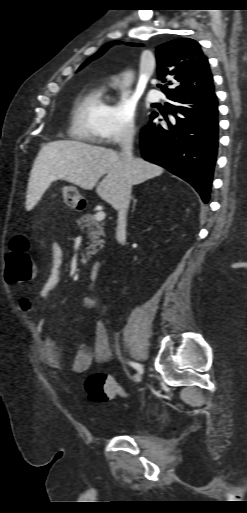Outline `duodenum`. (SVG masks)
<instances>
[{"label":"duodenum","instance_id":"duodenum-1","mask_svg":"<svg viewBox=\"0 0 247 513\" xmlns=\"http://www.w3.org/2000/svg\"><path fill=\"white\" fill-rule=\"evenodd\" d=\"M100 269H101V263L100 262L93 263L92 269H91V274H92V277H93L94 280H97L99 272H100Z\"/></svg>","mask_w":247,"mask_h":513}]
</instances>
